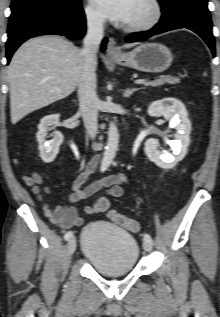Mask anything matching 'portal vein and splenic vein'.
<instances>
[{
    "mask_svg": "<svg viewBox=\"0 0 220 317\" xmlns=\"http://www.w3.org/2000/svg\"><path fill=\"white\" fill-rule=\"evenodd\" d=\"M146 80L145 79H138L135 81V84H145Z\"/></svg>",
    "mask_w": 220,
    "mask_h": 317,
    "instance_id": "18ae733b",
    "label": "portal vein and splenic vein"
}]
</instances>
